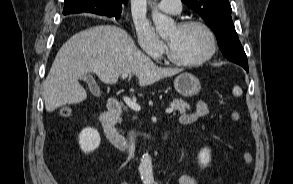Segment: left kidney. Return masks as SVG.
I'll return each mask as SVG.
<instances>
[{"mask_svg":"<svg viewBox=\"0 0 293 184\" xmlns=\"http://www.w3.org/2000/svg\"><path fill=\"white\" fill-rule=\"evenodd\" d=\"M198 160L199 164L207 166L210 162V150L207 148L202 149L198 155Z\"/></svg>","mask_w":293,"mask_h":184,"instance_id":"left-kidney-1","label":"left kidney"}]
</instances>
